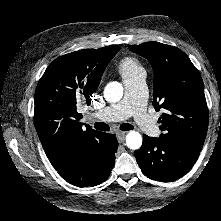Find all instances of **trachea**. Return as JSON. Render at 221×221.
<instances>
[{
	"label": "trachea",
	"mask_w": 221,
	"mask_h": 221,
	"mask_svg": "<svg viewBox=\"0 0 221 221\" xmlns=\"http://www.w3.org/2000/svg\"><path fill=\"white\" fill-rule=\"evenodd\" d=\"M95 129L100 130V131H108L110 129V127L106 124V123H100V122H96L94 124ZM134 127L129 124V123H123L120 125V129L123 131H128L133 129Z\"/></svg>",
	"instance_id": "trachea-1"
}]
</instances>
